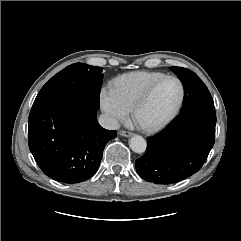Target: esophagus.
I'll use <instances>...</instances> for the list:
<instances>
[{
	"instance_id": "obj_1",
	"label": "esophagus",
	"mask_w": 241,
	"mask_h": 241,
	"mask_svg": "<svg viewBox=\"0 0 241 241\" xmlns=\"http://www.w3.org/2000/svg\"><path fill=\"white\" fill-rule=\"evenodd\" d=\"M119 135H121L123 137H130L133 135V133L129 132V131L121 130V131H119Z\"/></svg>"
}]
</instances>
